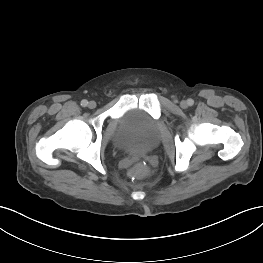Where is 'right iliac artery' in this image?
<instances>
[{
	"mask_svg": "<svg viewBox=\"0 0 263 263\" xmlns=\"http://www.w3.org/2000/svg\"><path fill=\"white\" fill-rule=\"evenodd\" d=\"M88 105V101L87 100H82L81 101V106H83V107H86Z\"/></svg>",
	"mask_w": 263,
	"mask_h": 263,
	"instance_id": "82829eb1",
	"label": "right iliac artery"
}]
</instances>
